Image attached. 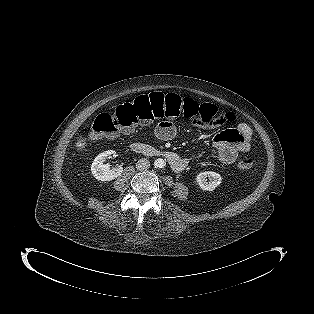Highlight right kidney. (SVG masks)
Returning a JSON list of instances; mask_svg holds the SVG:
<instances>
[{
  "label": "right kidney",
  "instance_id": "ca27d5eb",
  "mask_svg": "<svg viewBox=\"0 0 314 314\" xmlns=\"http://www.w3.org/2000/svg\"><path fill=\"white\" fill-rule=\"evenodd\" d=\"M116 156V152L113 150H108L100 153L93 161L91 165L92 175L99 181H112L123 172V167L121 165L117 167H110L109 164H105L106 159Z\"/></svg>",
  "mask_w": 314,
  "mask_h": 314
}]
</instances>
